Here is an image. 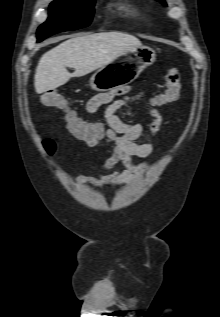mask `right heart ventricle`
I'll list each match as a JSON object with an SVG mask.
<instances>
[{
    "instance_id": "e07e8e85",
    "label": "right heart ventricle",
    "mask_w": 220,
    "mask_h": 317,
    "mask_svg": "<svg viewBox=\"0 0 220 317\" xmlns=\"http://www.w3.org/2000/svg\"><path fill=\"white\" fill-rule=\"evenodd\" d=\"M124 8L129 13H133V11H134L133 8H131L129 5H125Z\"/></svg>"
}]
</instances>
